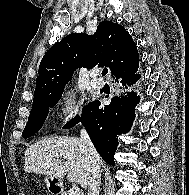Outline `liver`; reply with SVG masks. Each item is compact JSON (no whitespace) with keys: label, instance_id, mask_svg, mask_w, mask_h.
Listing matches in <instances>:
<instances>
[{"label":"liver","instance_id":"obj_1","mask_svg":"<svg viewBox=\"0 0 189 195\" xmlns=\"http://www.w3.org/2000/svg\"><path fill=\"white\" fill-rule=\"evenodd\" d=\"M100 164V157H99ZM87 147L81 138L45 137L25 151L24 170L61 178L87 188L90 178Z\"/></svg>","mask_w":189,"mask_h":195}]
</instances>
